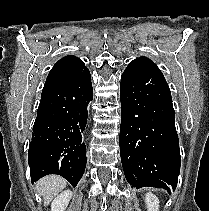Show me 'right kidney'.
<instances>
[{
    "instance_id": "1",
    "label": "right kidney",
    "mask_w": 209,
    "mask_h": 211,
    "mask_svg": "<svg viewBox=\"0 0 209 211\" xmlns=\"http://www.w3.org/2000/svg\"><path fill=\"white\" fill-rule=\"evenodd\" d=\"M72 197L70 190L61 192L51 203V211H64Z\"/></svg>"
}]
</instances>
